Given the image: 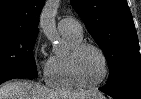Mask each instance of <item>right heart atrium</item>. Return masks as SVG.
<instances>
[{
    "mask_svg": "<svg viewBox=\"0 0 141 99\" xmlns=\"http://www.w3.org/2000/svg\"><path fill=\"white\" fill-rule=\"evenodd\" d=\"M39 49H40V45H39V44H37V45H36V47H35V52H38V51H39Z\"/></svg>",
    "mask_w": 141,
    "mask_h": 99,
    "instance_id": "d8ad5b80",
    "label": "right heart atrium"
}]
</instances>
